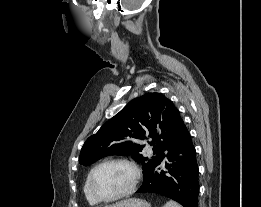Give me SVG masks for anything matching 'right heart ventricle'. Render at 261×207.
I'll return each mask as SVG.
<instances>
[{
	"label": "right heart ventricle",
	"instance_id": "e07e8e85",
	"mask_svg": "<svg viewBox=\"0 0 261 207\" xmlns=\"http://www.w3.org/2000/svg\"><path fill=\"white\" fill-rule=\"evenodd\" d=\"M90 173H91V171L88 173V175H87V177L85 179L84 186H83V192H84V195H85V198H86L87 202L90 205H97L98 201H96L93 198V196L91 195L90 190H89V176H90Z\"/></svg>",
	"mask_w": 261,
	"mask_h": 207
}]
</instances>
